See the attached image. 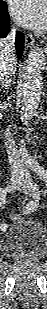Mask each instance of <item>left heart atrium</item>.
Instances as JSON below:
<instances>
[{"mask_svg":"<svg viewBox=\"0 0 47 309\" xmlns=\"http://www.w3.org/2000/svg\"><path fill=\"white\" fill-rule=\"evenodd\" d=\"M10 11L15 21L22 26L37 30L46 27V0H13Z\"/></svg>","mask_w":47,"mask_h":309,"instance_id":"left-heart-atrium-1","label":"left heart atrium"}]
</instances>
